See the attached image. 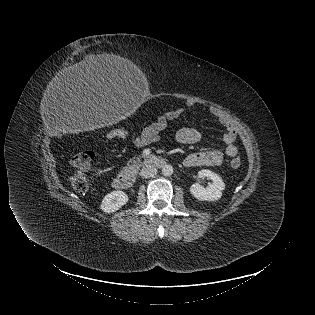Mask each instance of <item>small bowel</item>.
<instances>
[{"label": "small bowel", "mask_w": 315, "mask_h": 315, "mask_svg": "<svg viewBox=\"0 0 315 315\" xmlns=\"http://www.w3.org/2000/svg\"><path fill=\"white\" fill-rule=\"evenodd\" d=\"M194 105L195 102L187 101V106L193 107ZM184 112V108H177L161 113L152 123L145 126L141 131L132 133V146L142 148L158 142L161 139L162 132L167 128L168 122L179 118ZM209 113L217 118L225 127L223 134L225 148L223 150L212 149L189 154L184 159V164L188 167L221 166L224 163L225 156L234 157L238 153V148L235 145L237 131L230 117L223 110L216 107H210ZM201 138V132L193 128H181L175 134V140L181 144H194L200 141Z\"/></svg>", "instance_id": "small-bowel-1"}]
</instances>
